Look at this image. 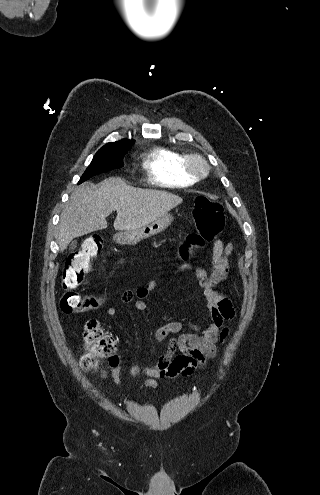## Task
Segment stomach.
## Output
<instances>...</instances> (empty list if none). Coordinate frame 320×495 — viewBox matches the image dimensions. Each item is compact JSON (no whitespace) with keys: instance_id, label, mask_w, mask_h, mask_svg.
Listing matches in <instances>:
<instances>
[{"instance_id":"obj_1","label":"stomach","mask_w":320,"mask_h":495,"mask_svg":"<svg viewBox=\"0 0 320 495\" xmlns=\"http://www.w3.org/2000/svg\"><path fill=\"white\" fill-rule=\"evenodd\" d=\"M172 219V215L165 213L145 226L116 233L113 239L122 245H135L143 239L164 231L171 224Z\"/></svg>"}]
</instances>
